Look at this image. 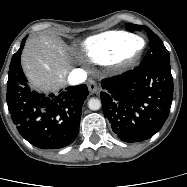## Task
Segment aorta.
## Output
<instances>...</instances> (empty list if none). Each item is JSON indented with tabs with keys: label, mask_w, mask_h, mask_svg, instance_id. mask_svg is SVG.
<instances>
[{
	"label": "aorta",
	"mask_w": 187,
	"mask_h": 187,
	"mask_svg": "<svg viewBox=\"0 0 187 187\" xmlns=\"http://www.w3.org/2000/svg\"><path fill=\"white\" fill-rule=\"evenodd\" d=\"M88 107L93 111L99 110L101 108V101L98 98H90Z\"/></svg>",
	"instance_id": "1"
}]
</instances>
